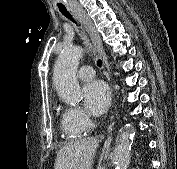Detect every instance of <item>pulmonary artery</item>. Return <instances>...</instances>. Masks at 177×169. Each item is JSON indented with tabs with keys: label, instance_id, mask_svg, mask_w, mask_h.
<instances>
[{
	"label": "pulmonary artery",
	"instance_id": "e3ab8cb5",
	"mask_svg": "<svg viewBox=\"0 0 177 169\" xmlns=\"http://www.w3.org/2000/svg\"><path fill=\"white\" fill-rule=\"evenodd\" d=\"M95 76V72L93 67L89 65L82 66L78 71V77L80 80L89 81L93 79Z\"/></svg>",
	"mask_w": 177,
	"mask_h": 169
}]
</instances>
